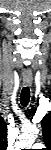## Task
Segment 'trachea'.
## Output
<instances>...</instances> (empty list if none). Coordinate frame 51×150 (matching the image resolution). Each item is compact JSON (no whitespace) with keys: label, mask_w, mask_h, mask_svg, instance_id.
<instances>
[{"label":"trachea","mask_w":51,"mask_h":150,"mask_svg":"<svg viewBox=\"0 0 51 150\" xmlns=\"http://www.w3.org/2000/svg\"><path fill=\"white\" fill-rule=\"evenodd\" d=\"M30 100V89L28 86L23 87L20 94V102L23 107H26Z\"/></svg>","instance_id":"trachea-1"}]
</instances>
